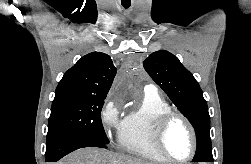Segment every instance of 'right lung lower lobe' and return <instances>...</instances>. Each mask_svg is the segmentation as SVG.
<instances>
[{"label":"right lung lower lobe","mask_w":251,"mask_h":164,"mask_svg":"<svg viewBox=\"0 0 251 164\" xmlns=\"http://www.w3.org/2000/svg\"><path fill=\"white\" fill-rule=\"evenodd\" d=\"M45 160L46 162H57L65 155L84 147H100L107 148V144H103L97 140L79 137L64 136L47 143Z\"/></svg>","instance_id":"right-lung-lower-lobe-1"}]
</instances>
